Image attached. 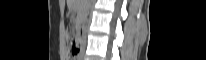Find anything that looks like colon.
Masks as SVG:
<instances>
[{
  "label": "colon",
  "instance_id": "1",
  "mask_svg": "<svg viewBox=\"0 0 206 60\" xmlns=\"http://www.w3.org/2000/svg\"><path fill=\"white\" fill-rule=\"evenodd\" d=\"M66 38H67V41L69 43L68 57L70 59H73L77 55L79 48H80L79 43L75 39V34H74L73 28H71V27L67 28Z\"/></svg>",
  "mask_w": 206,
  "mask_h": 60
}]
</instances>
